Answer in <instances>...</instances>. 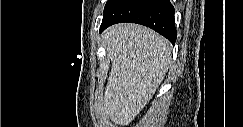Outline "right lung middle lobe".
<instances>
[{
  "label": "right lung middle lobe",
  "instance_id": "1",
  "mask_svg": "<svg viewBox=\"0 0 243 127\" xmlns=\"http://www.w3.org/2000/svg\"><path fill=\"white\" fill-rule=\"evenodd\" d=\"M113 0H108L107 1V3H106V5H105V7L110 3V2H112Z\"/></svg>",
  "mask_w": 243,
  "mask_h": 127
}]
</instances>
